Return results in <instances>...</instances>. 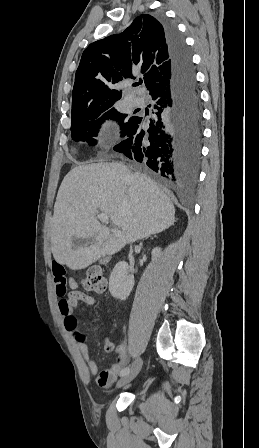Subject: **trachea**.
<instances>
[{"label":"trachea","mask_w":259,"mask_h":448,"mask_svg":"<svg viewBox=\"0 0 259 448\" xmlns=\"http://www.w3.org/2000/svg\"><path fill=\"white\" fill-rule=\"evenodd\" d=\"M142 84V80H139V82H137V83H134V86H139V85H141Z\"/></svg>","instance_id":"1"}]
</instances>
